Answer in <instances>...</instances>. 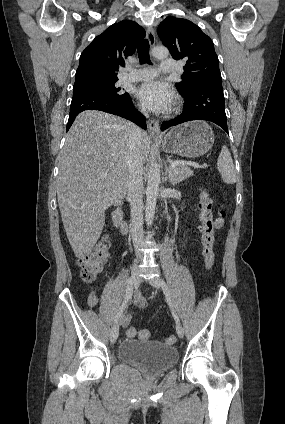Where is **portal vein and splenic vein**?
<instances>
[{
    "label": "portal vein and splenic vein",
    "mask_w": 285,
    "mask_h": 424,
    "mask_svg": "<svg viewBox=\"0 0 285 424\" xmlns=\"http://www.w3.org/2000/svg\"><path fill=\"white\" fill-rule=\"evenodd\" d=\"M180 163H185V164L191 165V166L196 167V168L200 167V165L198 163H190V162H183V161H181V162L180 161H173V162L170 163L169 167L170 168L175 167L176 165H178ZM104 176H105V174H102V177H104Z\"/></svg>",
    "instance_id": "1"
}]
</instances>
